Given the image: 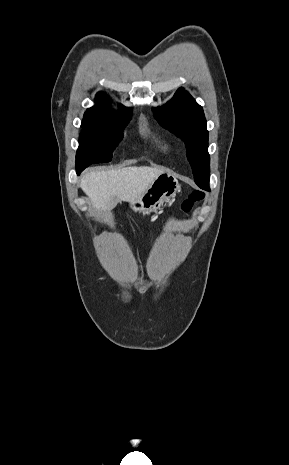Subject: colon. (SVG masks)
I'll return each mask as SVG.
<instances>
[{
  "mask_svg": "<svg viewBox=\"0 0 289 465\" xmlns=\"http://www.w3.org/2000/svg\"><path fill=\"white\" fill-rule=\"evenodd\" d=\"M205 193L201 190L193 191L182 203V210L184 213H189L195 203L201 201L204 198Z\"/></svg>",
  "mask_w": 289,
  "mask_h": 465,
  "instance_id": "colon-1",
  "label": "colon"
}]
</instances>
